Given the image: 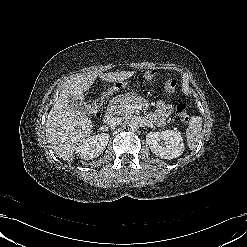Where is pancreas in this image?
<instances>
[{"label":"pancreas","mask_w":247,"mask_h":247,"mask_svg":"<svg viewBox=\"0 0 247 247\" xmlns=\"http://www.w3.org/2000/svg\"><path fill=\"white\" fill-rule=\"evenodd\" d=\"M130 105H137L144 110L149 108V102L146 99L141 96H137V94H131L126 97H116L111 100L109 109L116 115L127 116L134 112V110L129 108Z\"/></svg>","instance_id":"1"}]
</instances>
